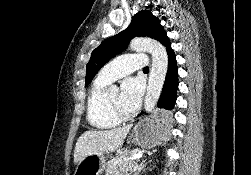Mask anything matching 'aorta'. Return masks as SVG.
<instances>
[{"label":"aorta","mask_w":251,"mask_h":175,"mask_svg":"<svg viewBox=\"0 0 251 175\" xmlns=\"http://www.w3.org/2000/svg\"><path fill=\"white\" fill-rule=\"evenodd\" d=\"M130 50L132 52H149L152 56L148 88L144 99L145 111H152L165 82L168 70L167 52L162 44L156 40H148V38H134L130 42Z\"/></svg>","instance_id":"aorta-1"}]
</instances>
